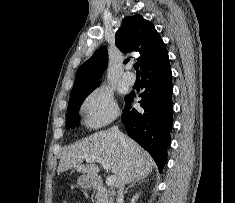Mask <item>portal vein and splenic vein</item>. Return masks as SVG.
<instances>
[{
	"label": "portal vein and splenic vein",
	"mask_w": 235,
	"mask_h": 203,
	"mask_svg": "<svg viewBox=\"0 0 235 203\" xmlns=\"http://www.w3.org/2000/svg\"><path fill=\"white\" fill-rule=\"evenodd\" d=\"M86 162L88 163H92V162H99L102 164V166L104 167V169L108 170L110 168V165L108 164V162L104 161L103 159L101 158H88L86 159ZM116 181V178L114 175L112 176H109L107 179H106V185L107 186H112L114 185Z\"/></svg>",
	"instance_id": "obj_1"
}]
</instances>
